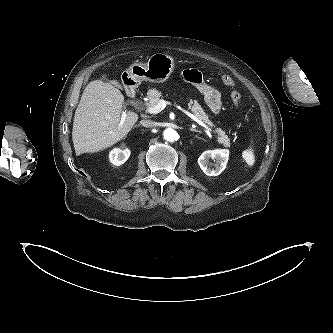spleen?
I'll return each mask as SVG.
<instances>
[{
    "instance_id": "3e777b00",
    "label": "spleen",
    "mask_w": 333,
    "mask_h": 333,
    "mask_svg": "<svg viewBox=\"0 0 333 333\" xmlns=\"http://www.w3.org/2000/svg\"><path fill=\"white\" fill-rule=\"evenodd\" d=\"M242 157L248 167H252L255 163V155L253 149L250 147L243 151Z\"/></svg>"
}]
</instances>
